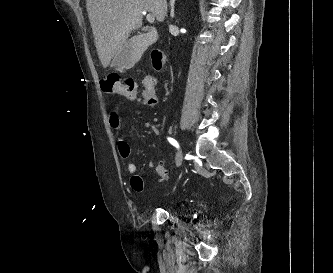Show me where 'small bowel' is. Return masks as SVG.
<instances>
[{
	"instance_id": "obj_1",
	"label": "small bowel",
	"mask_w": 333,
	"mask_h": 273,
	"mask_svg": "<svg viewBox=\"0 0 333 273\" xmlns=\"http://www.w3.org/2000/svg\"><path fill=\"white\" fill-rule=\"evenodd\" d=\"M143 84H142V92L137 91L136 95H129L128 101L129 102H140L142 105L147 107H154L157 103V97L155 95V91H157V84L155 79L149 75V71H144L143 77ZM150 95V96H149ZM123 104L118 103L113 106L112 110L109 114V121L110 125L113 129L119 130L120 129V111ZM144 127H149L150 123L144 121L142 123ZM117 149L119 155L122 159H129L131 157V148L130 145L126 140L119 137L117 140ZM127 172L132 176L131 177V188L135 192H142L144 190V182L142 177L136 174L137 166L134 163H129L127 165Z\"/></svg>"
}]
</instances>
